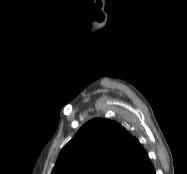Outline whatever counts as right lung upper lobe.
Segmentation results:
<instances>
[{
  "mask_svg": "<svg viewBox=\"0 0 187 174\" xmlns=\"http://www.w3.org/2000/svg\"><path fill=\"white\" fill-rule=\"evenodd\" d=\"M51 174H155L146 151L121 125L96 118L61 150Z\"/></svg>",
  "mask_w": 187,
  "mask_h": 174,
  "instance_id": "obj_1",
  "label": "right lung upper lobe"
}]
</instances>
